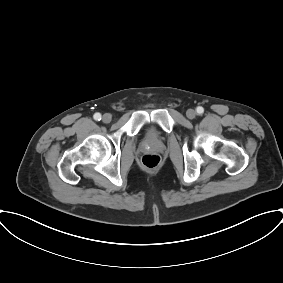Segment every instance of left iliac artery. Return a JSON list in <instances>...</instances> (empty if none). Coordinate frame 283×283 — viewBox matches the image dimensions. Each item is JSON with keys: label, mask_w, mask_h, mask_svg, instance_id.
I'll return each mask as SVG.
<instances>
[{"label": "left iliac artery", "mask_w": 283, "mask_h": 283, "mask_svg": "<svg viewBox=\"0 0 283 283\" xmlns=\"http://www.w3.org/2000/svg\"><path fill=\"white\" fill-rule=\"evenodd\" d=\"M196 111H197L198 114H202L204 112V109H203V107L199 106V107H197Z\"/></svg>", "instance_id": "1"}]
</instances>
